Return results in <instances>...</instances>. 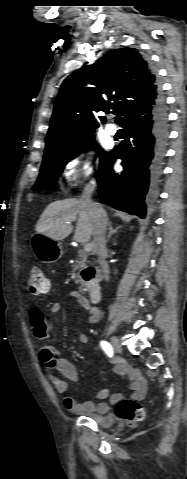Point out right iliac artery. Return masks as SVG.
<instances>
[{
  "mask_svg": "<svg viewBox=\"0 0 187 479\" xmlns=\"http://www.w3.org/2000/svg\"><path fill=\"white\" fill-rule=\"evenodd\" d=\"M100 345L109 357L113 356V348L107 341H101Z\"/></svg>",
  "mask_w": 187,
  "mask_h": 479,
  "instance_id": "obj_1",
  "label": "right iliac artery"
}]
</instances>
